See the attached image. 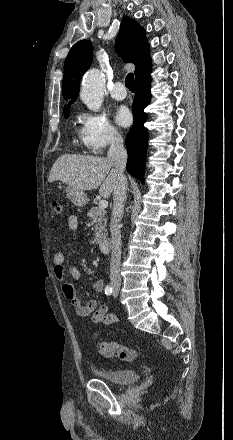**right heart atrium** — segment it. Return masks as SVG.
<instances>
[{"label":"right heart atrium","instance_id":"d8ad5b80","mask_svg":"<svg viewBox=\"0 0 233 440\" xmlns=\"http://www.w3.org/2000/svg\"><path fill=\"white\" fill-rule=\"evenodd\" d=\"M80 139L85 149L93 154H101L108 147L122 141L119 130L109 121L105 114L99 112H82Z\"/></svg>","mask_w":233,"mask_h":440}]
</instances>
